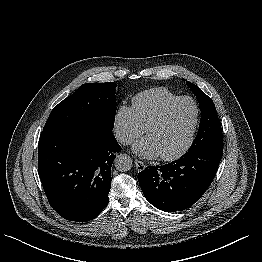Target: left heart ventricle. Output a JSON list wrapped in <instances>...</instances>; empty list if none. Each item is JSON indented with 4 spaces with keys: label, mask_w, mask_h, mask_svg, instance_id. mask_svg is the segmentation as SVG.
Returning a JSON list of instances; mask_svg holds the SVG:
<instances>
[{
    "label": "left heart ventricle",
    "mask_w": 262,
    "mask_h": 262,
    "mask_svg": "<svg viewBox=\"0 0 262 262\" xmlns=\"http://www.w3.org/2000/svg\"><path fill=\"white\" fill-rule=\"evenodd\" d=\"M195 118V106L190 101L175 105L159 126L148 132L156 143L160 155H170L178 151L187 141Z\"/></svg>",
    "instance_id": "1"
}]
</instances>
